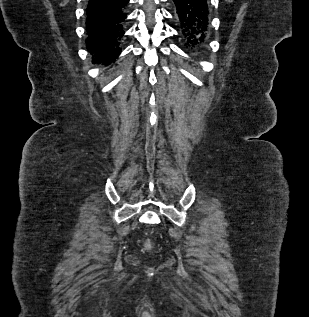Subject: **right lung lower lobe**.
Listing matches in <instances>:
<instances>
[{
	"mask_svg": "<svg viewBox=\"0 0 309 317\" xmlns=\"http://www.w3.org/2000/svg\"><path fill=\"white\" fill-rule=\"evenodd\" d=\"M129 0H89L87 7L86 47L93 63L106 66L121 53Z\"/></svg>",
	"mask_w": 309,
	"mask_h": 317,
	"instance_id": "1",
	"label": "right lung lower lobe"
}]
</instances>
